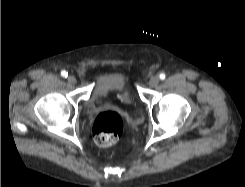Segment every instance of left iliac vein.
<instances>
[{
  "label": "left iliac vein",
  "instance_id": "obj_1",
  "mask_svg": "<svg viewBox=\"0 0 245 187\" xmlns=\"http://www.w3.org/2000/svg\"><path fill=\"white\" fill-rule=\"evenodd\" d=\"M159 82H160V78L158 76H153L149 81V86L155 87L159 84Z\"/></svg>",
  "mask_w": 245,
  "mask_h": 187
}]
</instances>
